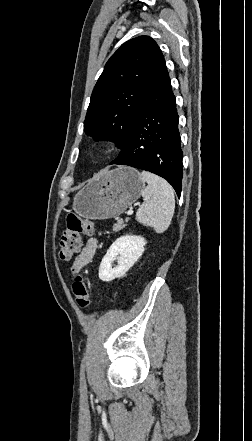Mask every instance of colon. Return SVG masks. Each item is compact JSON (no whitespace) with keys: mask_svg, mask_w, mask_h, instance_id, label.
I'll return each mask as SVG.
<instances>
[{"mask_svg":"<svg viewBox=\"0 0 252 441\" xmlns=\"http://www.w3.org/2000/svg\"><path fill=\"white\" fill-rule=\"evenodd\" d=\"M95 230L96 227L92 221L69 214L66 218V229L60 239V259L70 260L81 246L82 235L92 236ZM72 291L78 306L86 308L90 304L89 281L86 277L76 275L73 279Z\"/></svg>","mask_w":252,"mask_h":441,"instance_id":"1","label":"colon"}]
</instances>
